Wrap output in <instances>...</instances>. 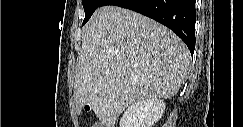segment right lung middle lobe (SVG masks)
Returning <instances> with one entry per match:
<instances>
[{"label":"right lung middle lobe","instance_id":"obj_1","mask_svg":"<svg viewBox=\"0 0 243 127\" xmlns=\"http://www.w3.org/2000/svg\"><path fill=\"white\" fill-rule=\"evenodd\" d=\"M105 0H82V4L84 7V11H85V19L83 21L84 25L92 16L93 12L98 8L101 7L103 2Z\"/></svg>","mask_w":243,"mask_h":127}]
</instances>
